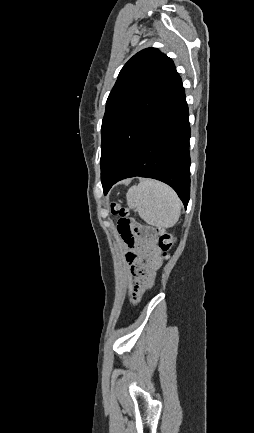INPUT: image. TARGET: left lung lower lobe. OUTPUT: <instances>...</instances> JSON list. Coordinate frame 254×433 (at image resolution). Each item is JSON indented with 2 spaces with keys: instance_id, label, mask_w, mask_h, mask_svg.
Listing matches in <instances>:
<instances>
[{
  "instance_id": "obj_1",
  "label": "left lung lower lobe",
  "mask_w": 254,
  "mask_h": 433,
  "mask_svg": "<svg viewBox=\"0 0 254 433\" xmlns=\"http://www.w3.org/2000/svg\"><path fill=\"white\" fill-rule=\"evenodd\" d=\"M181 78L141 126L123 160L103 185L134 176L170 185L187 207L190 195V125Z\"/></svg>"
}]
</instances>
